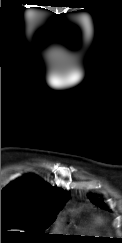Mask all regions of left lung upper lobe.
I'll list each match as a JSON object with an SVG mask.
<instances>
[{
  "label": "left lung upper lobe",
  "mask_w": 122,
  "mask_h": 243,
  "mask_svg": "<svg viewBox=\"0 0 122 243\" xmlns=\"http://www.w3.org/2000/svg\"><path fill=\"white\" fill-rule=\"evenodd\" d=\"M89 198L94 204L99 205L101 208L107 209V207L102 203L101 200L97 199L96 197L89 196Z\"/></svg>",
  "instance_id": "5c2ea615"
}]
</instances>
